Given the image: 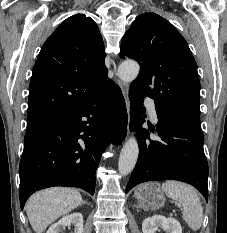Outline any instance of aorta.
<instances>
[{
  "label": "aorta",
  "instance_id": "aorta-1",
  "mask_svg": "<svg viewBox=\"0 0 227 233\" xmlns=\"http://www.w3.org/2000/svg\"><path fill=\"white\" fill-rule=\"evenodd\" d=\"M140 66L135 61H124L118 67V77L124 82H132L139 74ZM139 155V146L135 137L124 144L118 162L121 175H127L134 169Z\"/></svg>",
  "mask_w": 227,
  "mask_h": 233
}]
</instances>
